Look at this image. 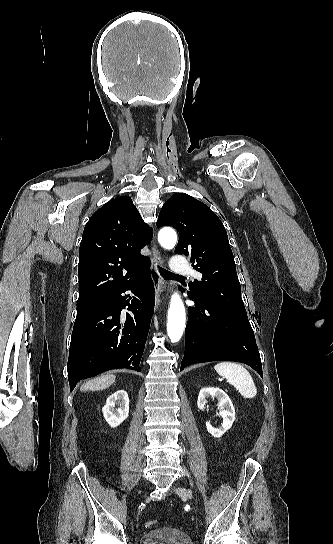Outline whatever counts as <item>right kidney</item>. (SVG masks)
<instances>
[{
    "mask_svg": "<svg viewBox=\"0 0 333 544\" xmlns=\"http://www.w3.org/2000/svg\"><path fill=\"white\" fill-rule=\"evenodd\" d=\"M118 408H115V407ZM106 422L113 428L119 426L129 415V397L126 391L111 394L102 408Z\"/></svg>",
    "mask_w": 333,
    "mask_h": 544,
    "instance_id": "ca27d5eb",
    "label": "right kidney"
}]
</instances>
